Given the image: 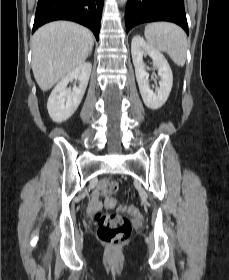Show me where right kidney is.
<instances>
[{"instance_id":"obj_1","label":"right kidney","mask_w":229,"mask_h":280,"mask_svg":"<svg viewBox=\"0 0 229 280\" xmlns=\"http://www.w3.org/2000/svg\"><path fill=\"white\" fill-rule=\"evenodd\" d=\"M92 64L85 62L66 75L53 89L47 102V109L54 122L61 123L70 118L77 110L85 93ZM78 80L79 85L67 88L70 81Z\"/></svg>"}]
</instances>
